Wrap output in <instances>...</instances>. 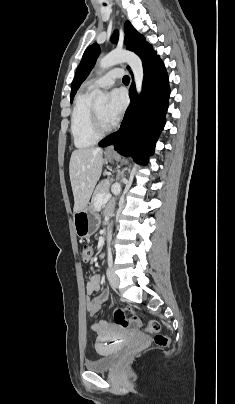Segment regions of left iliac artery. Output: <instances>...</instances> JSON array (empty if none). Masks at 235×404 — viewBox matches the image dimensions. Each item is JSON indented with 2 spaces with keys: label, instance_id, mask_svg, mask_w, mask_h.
<instances>
[{
  "label": "left iliac artery",
  "instance_id": "left-iliac-artery-1",
  "mask_svg": "<svg viewBox=\"0 0 235 404\" xmlns=\"http://www.w3.org/2000/svg\"><path fill=\"white\" fill-rule=\"evenodd\" d=\"M113 264L111 249H108V266L111 268Z\"/></svg>",
  "mask_w": 235,
  "mask_h": 404
}]
</instances>
